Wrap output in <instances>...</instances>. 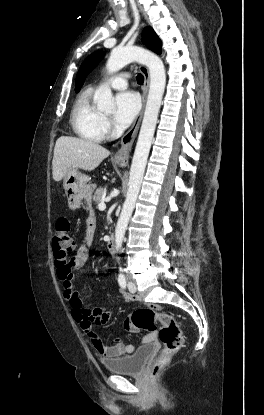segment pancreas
Wrapping results in <instances>:
<instances>
[{
  "instance_id": "pancreas-1",
  "label": "pancreas",
  "mask_w": 264,
  "mask_h": 415,
  "mask_svg": "<svg viewBox=\"0 0 264 415\" xmlns=\"http://www.w3.org/2000/svg\"><path fill=\"white\" fill-rule=\"evenodd\" d=\"M103 197H104V191H103V189L102 188H98L94 192L93 201H95V203L97 205H99V203L103 202Z\"/></svg>"
}]
</instances>
